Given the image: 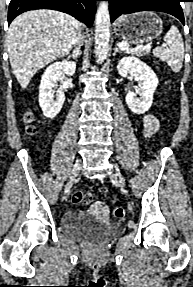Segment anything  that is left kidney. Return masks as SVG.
Segmentation results:
<instances>
[{"label": "left kidney", "mask_w": 193, "mask_h": 287, "mask_svg": "<svg viewBox=\"0 0 193 287\" xmlns=\"http://www.w3.org/2000/svg\"><path fill=\"white\" fill-rule=\"evenodd\" d=\"M117 70L120 76L126 77L129 74L138 81L139 98L136 93L128 92L125 99L132 112L144 114L153 103V94L158 86L156 74L146 63L134 56L120 59Z\"/></svg>", "instance_id": "1"}]
</instances>
